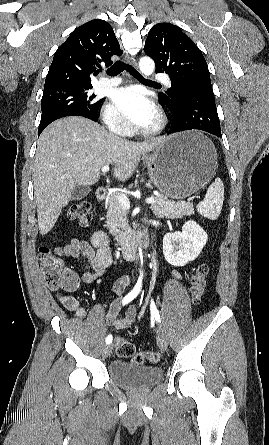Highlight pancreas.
<instances>
[{
    "instance_id": "obj_1",
    "label": "pancreas",
    "mask_w": 269,
    "mask_h": 445,
    "mask_svg": "<svg viewBox=\"0 0 269 445\" xmlns=\"http://www.w3.org/2000/svg\"><path fill=\"white\" fill-rule=\"evenodd\" d=\"M120 192H115L109 195L107 204V222L106 227L109 232L115 236V240L119 243L129 241L130 234L128 229L127 213L128 211L119 204L118 195ZM156 202L151 205L154 215L157 218H181L183 216H190L194 214L193 203L191 202H177L168 200L163 195L152 196Z\"/></svg>"
}]
</instances>
